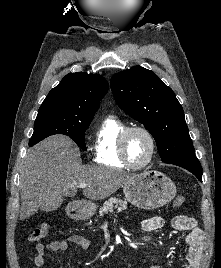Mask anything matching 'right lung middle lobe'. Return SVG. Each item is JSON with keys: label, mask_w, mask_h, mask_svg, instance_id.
Instances as JSON below:
<instances>
[{"label": "right lung middle lobe", "mask_w": 221, "mask_h": 268, "mask_svg": "<svg viewBox=\"0 0 221 268\" xmlns=\"http://www.w3.org/2000/svg\"><path fill=\"white\" fill-rule=\"evenodd\" d=\"M91 121L92 118H84L65 112L39 111L29 146H33L48 136L64 134L75 141L81 149L86 150L85 131Z\"/></svg>", "instance_id": "dd1d6c3e"}]
</instances>
